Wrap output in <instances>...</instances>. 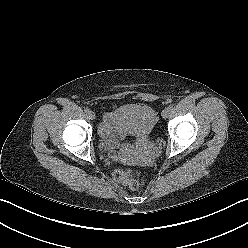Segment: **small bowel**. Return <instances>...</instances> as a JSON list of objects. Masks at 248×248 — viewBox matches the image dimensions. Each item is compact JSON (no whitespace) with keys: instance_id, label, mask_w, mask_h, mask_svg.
<instances>
[{"instance_id":"1","label":"small bowel","mask_w":248,"mask_h":248,"mask_svg":"<svg viewBox=\"0 0 248 248\" xmlns=\"http://www.w3.org/2000/svg\"><path fill=\"white\" fill-rule=\"evenodd\" d=\"M101 133L103 135H115L118 138H124L126 132L118 125L115 113H109L101 125Z\"/></svg>"}]
</instances>
